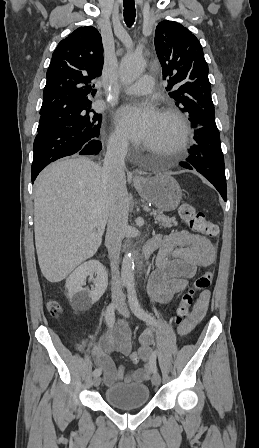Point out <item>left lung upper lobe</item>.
Wrapping results in <instances>:
<instances>
[{
	"label": "left lung upper lobe",
	"instance_id": "left-lung-upper-lobe-1",
	"mask_svg": "<svg viewBox=\"0 0 259 448\" xmlns=\"http://www.w3.org/2000/svg\"><path fill=\"white\" fill-rule=\"evenodd\" d=\"M155 49L162 67L166 90L183 105L194 129L215 126L214 104L208 65L199 40L181 24L164 20L155 31Z\"/></svg>",
	"mask_w": 259,
	"mask_h": 448
}]
</instances>
